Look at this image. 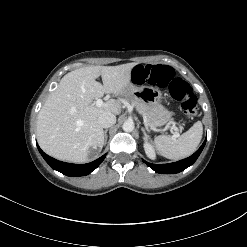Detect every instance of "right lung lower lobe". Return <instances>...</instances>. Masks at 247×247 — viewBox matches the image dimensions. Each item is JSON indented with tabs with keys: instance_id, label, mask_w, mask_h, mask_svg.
<instances>
[{
	"instance_id": "1",
	"label": "right lung lower lobe",
	"mask_w": 247,
	"mask_h": 247,
	"mask_svg": "<svg viewBox=\"0 0 247 247\" xmlns=\"http://www.w3.org/2000/svg\"><path fill=\"white\" fill-rule=\"evenodd\" d=\"M37 147L42 157L54 170H57L61 172L62 174L71 176V177L88 175L89 173L94 171L106 157V154H104L102 157L98 158L97 160L87 163V164H71V163H65L62 161H58L50 157L47 154H45L38 145Z\"/></svg>"
}]
</instances>
